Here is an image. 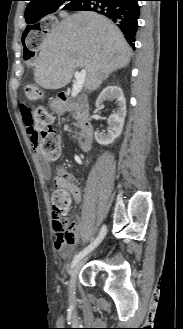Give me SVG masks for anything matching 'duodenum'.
<instances>
[{
	"mask_svg": "<svg viewBox=\"0 0 183 329\" xmlns=\"http://www.w3.org/2000/svg\"><path fill=\"white\" fill-rule=\"evenodd\" d=\"M57 99L62 105L72 106L77 111L82 128V141L80 147L84 152L89 151L91 147L93 129L89 119L90 106L87 98L83 95H79L76 98L71 99L68 93L60 92Z\"/></svg>",
	"mask_w": 183,
	"mask_h": 329,
	"instance_id": "410a0bca",
	"label": "duodenum"
}]
</instances>
